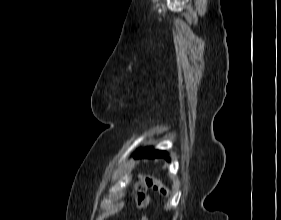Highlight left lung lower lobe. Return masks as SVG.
Wrapping results in <instances>:
<instances>
[{
  "mask_svg": "<svg viewBox=\"0 0 281 220\" xmlns=\"http://www.w3.org/2000/svg\"><path fill=\"white\" fill-rule=\"evenodd\" d=\"M134 157H147V158H168V154L165 151L154 150L152 148L139 150L134 154Z\"/></svg>",
  "mask_w": 281,
  "mask_h": 220,
  "instance_id": "0a47b994",
  "label": "left lung lower lobe"
}]
</instances>
